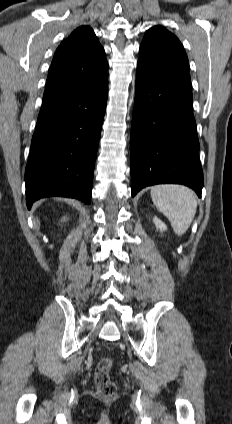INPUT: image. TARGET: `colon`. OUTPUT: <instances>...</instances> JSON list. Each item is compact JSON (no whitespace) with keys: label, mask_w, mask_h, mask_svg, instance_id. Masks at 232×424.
Segmentation results:
<instances>
[{"label":"colon","mask_w":232,"mask_h":424,"mask_svg":"<svg viewBox=\"0 0 232 424\" xmlns=\"http://www.w3.org/2000/svg\"><path fill=\"white\" fill-rule=\"evenodd\" d=\"M113 362L110 358H102L98 361L95 370V385L98 392L104 397H113L117 392L116 384L110 377Z\"/></svg>","instance_id":"1"}]
</instances>
